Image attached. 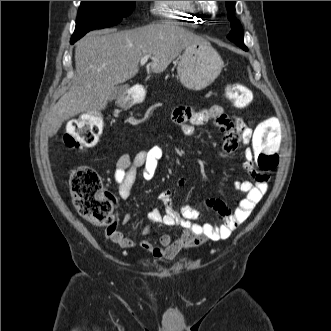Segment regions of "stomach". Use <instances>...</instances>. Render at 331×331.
Wrapping results in <instances>:
<instances>
[{"instance_id": "1", "label": "stomach", "mask_w": 331, "mask_h": 331, "mask_svg": "<svg viewBox=\"0 0 331 331\" xmlns=\"http://www.w3.org/2000/svg\"><path fill=\"white\" fill-rule=\"evenodd\" d=\"M223 61L207 41L187 46L180 57L177 73L181 84L191 90H201L211 84L220 74ZM128 103H122L127 107Z\"/></svg>"}]
</instances>
